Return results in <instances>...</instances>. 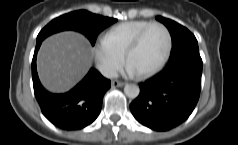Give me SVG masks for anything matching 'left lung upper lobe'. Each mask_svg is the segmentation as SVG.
<instances>
[{"label": "left lung upper lobe", "instance_id": "5c2ea615", "mask_svg": "<svg viewBox=\"0 0 238 145\" xmlns=\"http://www.w3.org/2000/svg\"><path fill=\"white\" fill-rule=\"evenodd\" d=\"M156 19L162 22L171 34L172 50L169 61L178 58L184 53L199 51L195 36L187 28L161 16H157Z\"/></svg>", "mask_w": 238, "mask_h": 145}]
</instances>
